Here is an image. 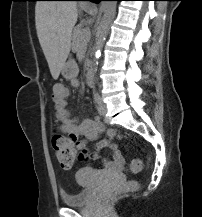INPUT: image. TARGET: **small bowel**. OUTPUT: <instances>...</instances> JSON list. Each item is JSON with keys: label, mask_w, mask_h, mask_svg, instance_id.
Wrapping results in <instances>:
<instances>
[{"label": "small bowel", "mask_w": 202, "mask_h": 217, "mask_svg": "<svg viewBox=\"0 0 202 217\" xmlns=\"http://www.w3.org/2000/svg\"><path fill=\"white\" fill-rule=\"evenodd\" d=\"M72 84H79L78 76L72 78ZM69 89L63 84H56L53 87V100L56 118L61 122V129L69 135V139L76 144L78 148L85 151V155L81 160H99L103 165V169L111 173H120L125 165V158L118 150L117 146L111 141L115 135L114 130L110 129L107 132L109 140L96 143L94 151H89L85 148V142L79 141V136H85L89 139L96 138L104 131V126L100 119L84 118L77 120L71 116L68 109ZM109 148L112 151V158L104 157L100 152Z\"/></svg>", "instance_id": "c3829d8e"}]
</instances>
